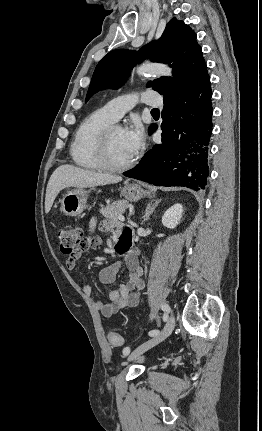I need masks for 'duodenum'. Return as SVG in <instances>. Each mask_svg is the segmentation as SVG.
I'll return each instance as SVG.
<instances>
[{
    "label": "duodenum",
    "instance_id": "1",
    "mask_svg": "<svg viewBox=\"0 0 262 431\" xmlns=\"http://www.w3.org/2000/svg\"><path fill=\"white\" fill-rule=\"evenodd\" d=\"M125 243H126V240H125V239H123V240L119 241V243H117V247H118V249H119V250H123V248L125 247Z\"/></svg>",
    "mask_w": 262,
    "mask_h": 431
}]
</instances>
